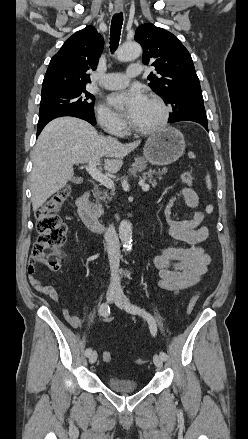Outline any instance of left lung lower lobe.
Listing matches in <instances>:
<instances>
[{"mask_svg": "<svg viewBox=\"0 0 248 439\" xmlns=\"http://www.w3.org/2000/svg\"><path fill=\"white\" fill-rule=\"evenodd\" d=\"M179 121H193L202 125L208 131V122L206 116L194 115V114H186L175 119L169 120L170 123L179 122Z\"/></svg>", "mask_w": 248, "mask_h": 439, "instance_id": "1", "label": "left lung lower lobe"}]
</instances>
